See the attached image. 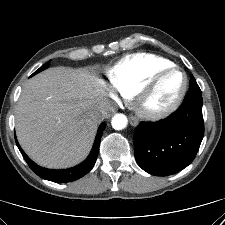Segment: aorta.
<instances>
[{
    "mask_svg": "<svg viewBox=\"0 0 225 225\" xmlns=\"http://www.w3.org/2000/svg\"><path fill=\"white\" fill-rule=\"evenodd\" d=\"M128 119L124 114H115L111 120V125L115 130H122L127 126Z\"/></svg>",
    "mask_w": 225,
    "mask_h": 225,
    "instance_id": "762f6f07",
    "label": "aorta"
}]
</instances>
